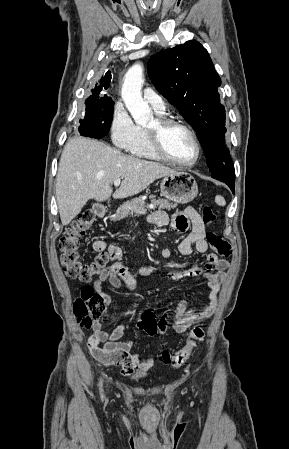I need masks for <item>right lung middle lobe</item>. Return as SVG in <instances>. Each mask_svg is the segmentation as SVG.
Wrapping results in <instances>:
<instances>
[{
	"instance_id": "obj_1",
	"label": "right lung middle lobe",
	"mask_w": 289,
	"mask_h": 449,
	"mask_svg": "<svg viewBox=\"0 0 289 449\" xmlns=\"http://www.w3.org/2000/svg\"><path fill=\"white\" fill-rule=\"evenodd\" d=\"M85 104L86 113L84 119L80 120V134L96 139L106 136L112 122L113 100L98 95L86 99Z\"/></svg>"
}]
</instances>
